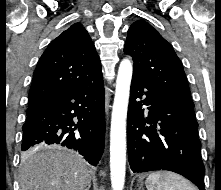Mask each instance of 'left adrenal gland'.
<instances>
[{
    "label": "left adrenal gland",
    "instance_id": "1",
    "mask_svg": "<svg viewBox=\"0 0 221 190\" xmlns=\"http://www.w3.org/2000/svg\"><path fill=\"white\" fill-rule=\"evenodd\" d=\"M144 190V188H143V185L142 184H140V186H139V190Z\"/></svg>",
    "mask_w": 221,
    "mask_h": 190
}]
</instances>
